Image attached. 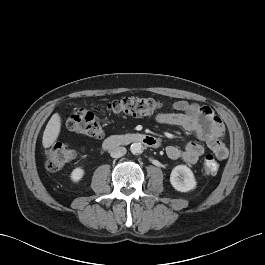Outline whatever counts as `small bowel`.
Returning <instances> with one entry per match:
<instances>
[{
    "label": "small bowel",
    "instance_id": "obj_1",
    "mask_svg": "<svg viewBox=\"0 0 265 265\" xmlns=\"http://www.w3.org/2000/svg\"><path fill=\"white\" fill-rule=\"evenodd\" d=\"M172 112H163L156 116L160 124L174 125L193 133L214 152L217 158L225 159L228 155L221 138L224 135V125L215 116L209 106H200L185 100H177L171 104ZM204 147L198 142H189L183 149L171 145L166 149L170 159H181L187 164H195L204 154Z\"/></svg>",
    "mask_w": 265,
    "mask_h": 265
}]
</instances>
